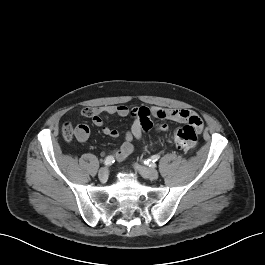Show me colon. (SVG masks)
<instances>
[{"label":"colon","instance_id":"5ec220e1","mask_svg":"<svg viewBox=\"0 0 265 265\" xmlns=\"http://www.w3.org/2000/svg\"><path fill=\"white\" fill-rule=\"evenodd\" d=\"M62 133L65 139L70 140L73 136L72 126L68 123L65 124L63 126ZM174 141L181 149H193L198 141L197 128L193 125V123L176 127L174 130Z\"/></svg>","mask_w":265,"mask_h":265}]
</instances>
